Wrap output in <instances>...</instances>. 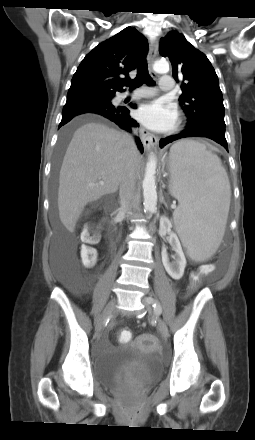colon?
<instances>
[{
    "instance_id": "1",
    "label": "colon",
    "mask_w": 255,
    "mask_h": 440,
    "mask_svg": "<svg viewBox=\"0 0 255 440\" xmlns=\"http://www.w3.org/2000/svg\"><path fill=\"white\" fill-rule=\"evenodd\" d=\"M98 236V232L90 228L86 229L83 233V238L91 243L95 242L98 239ZM82 258L87 266H92L96 259L95 249L92 246H85L82 249ZM118 338L121 342H128L132 338V333L129 330H121L118 333Z\"/></svg>"
}]
</instances>
